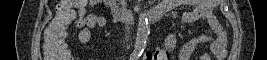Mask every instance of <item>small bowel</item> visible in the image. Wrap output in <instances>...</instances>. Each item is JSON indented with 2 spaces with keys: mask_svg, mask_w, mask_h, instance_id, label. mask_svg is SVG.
Wrapping results in <instances>:
<instances>
[{
  "mask_svg": "<svg viewBox=\"0 0 267 60\" xmlns=\"http://www.w3.org/2000/svg\"><path fill=\"white\" fill-rule=\"evenodd\" d=\"M104 1L92 0L84 3L83 5H76L75 9L78 13V21H82L84 26L78 33V41L87 43L91 38V29L96 25H102L104 19L98 15L90 14L88 8L95 7L98 3ZM219 4L218 0H165L160 6L165 7L167 10L177 6L186 5L193 6L194 8L185 12L181 18L182 24L192 23L198 20H204L208 23L211 32L209 34L198 36L185 45L176 53L177 38L175 32H171L165 39V49L146 52L143 55V60H188L195 49L203 43H210V54H202L200 60H210L211 55L217 60H223L226 56V31L213 14L214 8Z\"/></svg>",
  "mask_w": 267,
  "mask_h": 60,
  "instance_id": "1",
  "label": "small bowel"
}]
</instances>
